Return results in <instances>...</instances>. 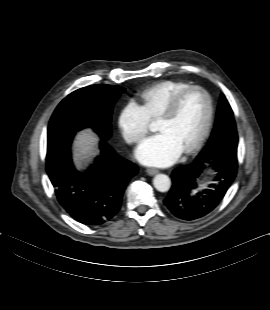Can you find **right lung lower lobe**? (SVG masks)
<instances>
[{
	"mask_svg": "<svg viewBox=\"0 0 270 310\" xmlns=\"http://www.w3.org/2000/svg\"><path fill=\"white\" fill-rule=\"evenodd\" d=\"M72 138L48 135L47 173L59 203L72 218L90 226L103 224L118 212L124 190L138 168L102 140L94 165L78 172L70 156Z\"/></svg>",
	"mask_w": 270,
	"mask_h": 310,
	"instance_id": "98d812e1",
	"label": "right lung lower lobe"
}]
</instances>
